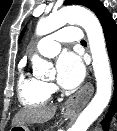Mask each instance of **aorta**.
<instances>
[{"label": "aorta", "mask_w": 117, "mask_h": 131, "mask_svg": "<svg viewBox=\"0 0 117 131\" xmlns=\"http://www.w3.org/2000/svg\"><path fill=\"white\" fill-rule=\"evenodd\" d=\"M66 23H75L86 31L93 59L97 91L88 106L82 111L71 131H87L108 105L112 94V76L106 51L103 30L97 17L82 7H66L46 18H41L36 27L39 36L51 33ZM33 73L40 77L52 71V65L38 55L32 58Z\"/></svg>", "instance_id": "obj_1"}]
</instances>
